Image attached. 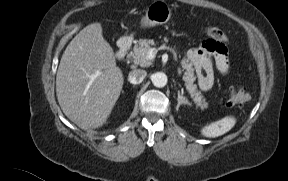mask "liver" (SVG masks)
<instances>
[{"label": "liver", "mask_w": 288, "mask_h": 181, "mask_svg": "<svg viewBox=\"0 0 288 181\" xmlns=\"http://www.w3.org/2000/svg\"><path fill=\"white\" fill-rule=\"evenodd\" d=\"M123 82L101 24L92 23L73 38L62 55L56 76L57 99L78 127L96 129L106 123Z\"/></svg>", "instance_id": "obj_1"}]
</instances>
